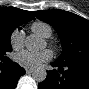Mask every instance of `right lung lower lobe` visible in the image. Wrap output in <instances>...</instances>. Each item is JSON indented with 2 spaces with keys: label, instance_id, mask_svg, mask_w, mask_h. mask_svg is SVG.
I'll use <instances>...</instances> for the list:
<instances>
[{
  "label": "right lung lower lobe",
  "instance_id": "obj_1",
  "mask_svg": "<svg viewBox=\"0 0 89 89\" xmlns=\"http://www.w3.org/2000/svg\"><path fill=\"white\" fill-rule=\"evenodd\" d=\"M4 62V67L2 66L3 68L0 72V88L14 89L18 79L25 74V70L17 63H13L9 58H6Z\"/></svg>",
  "mask_w": 89,
  "mask_h": 89
}]
</instances>
